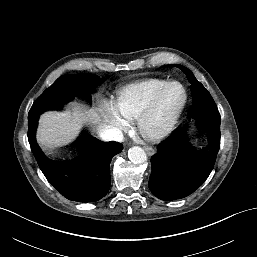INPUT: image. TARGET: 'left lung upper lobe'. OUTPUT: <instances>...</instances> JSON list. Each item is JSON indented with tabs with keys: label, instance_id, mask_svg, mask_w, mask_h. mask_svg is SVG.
<instances>
[{
	"label": "left lung upper lobe",
	"instance_id": "obj_1",
	"mask_svg": "<svg viewBox=\"0 0 257 257\" xmlns=\"http://www.w3.org/2000/svg\"><path fill=\"white\" fill-rule=\"evenodd\" d=\"M175 66L180 68L186 74L187 79L191 83L190 88L193 104L190 108L189 116L199 118L203 124L210 121L219 122L220 114L209 92L199 81H197L189 69L181 65Z\"/></svg>",
	"mask_w": 257,
	"mask_h": 257
}]
</instances>
